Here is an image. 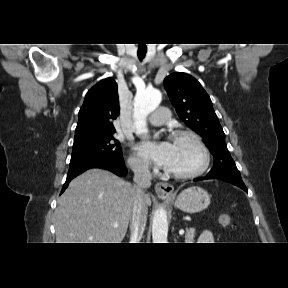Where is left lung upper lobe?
<instances>
[{
  "label": "left lung upper lobe",
  "instance_id": "1",
  "mask_svg": "<svg viewBox=\"0 0 288 288\" xmlns=\"http://www.w3.org/2000/svg\"><path fill=\"white\" fill-rule=\"evenodd\" d=\"M164 86L180 119L204 138L214 157L211 177L242 180L225 143V134L212 102L201 84L187 73L177 72L164 79Z\"/></svg>",
  "mask_w": 288,
  "mask_h": 288
}]
</instances>
